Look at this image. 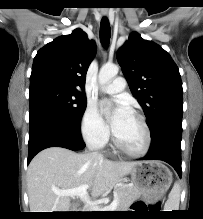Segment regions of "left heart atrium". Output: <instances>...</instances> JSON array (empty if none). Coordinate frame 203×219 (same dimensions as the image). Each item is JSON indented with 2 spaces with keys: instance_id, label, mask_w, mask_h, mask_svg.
Instances as JSON below:
<instances>
[{
  "instance_id": "obj_1",
  "label": "left heart atrium",
  "mask_w": 203,
  "mask_h": 219,
  "mask_svg": "<svg viewBox=\"0 0 203 219\" xmlns=\"http://www.w3.org/2000/svg\"><path fill=\"white\" fill-rule=\"evenodd\" d=\"M115 104L116 106L114 112L110 117V124L113 131L120 124V122L131 113L130 107L124 100L118 99L115 101Z\"/></svg>"
}]
</instances>
